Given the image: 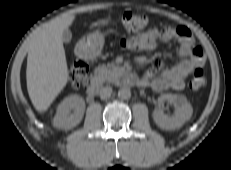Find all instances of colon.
<instances>
[{
	"mask_svg": "<svg viewBox=\"0 0 231 170\" xmlns=\"http://www.w3.org/2000/svg\"><path fill=\"white\" fill-rule=\"evenodd\" d=\"M120 23L123 28L132 34L142 31L148 24V18L144 14L134 12H124L120 16ZM87 63L82 59H75L69 66V78L74 88L84 86L87 81ZM207 77L204 70L196 68L189 82V88L193 92L205 89Z\"/></svg>",
	"mask_w": 231,
	"mask_h": 170,
	"instance_id": "obj_1",
	"label": "colon"
}]
</instances>
